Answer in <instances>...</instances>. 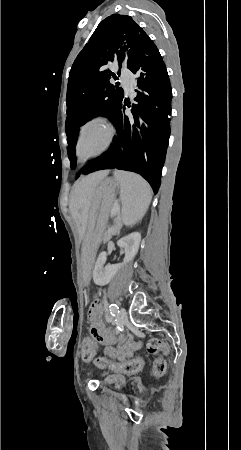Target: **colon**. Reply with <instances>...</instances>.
<instances>
[{
	"label": "colon",
	"instance_id": "colon-1",
	"mask_svg": "<svg viewBox=\"0 0 241 450\" xmlns=\"http://www.w3.org/2000/svg\"><path fill=\"white\" fill-rule=\"evenodd\" d=\"M82 352L81 357L82 359H87V356H92L89 353L94 351V341L90 337H86L82 343ZM147 352L151 355H156L157 352H160V354H169L171 349L170 346L165 342L157 338H151L147 343ZM94 362H97V367H107L109 364L106 361L105 357H94ZM143 362L136 358L129 362L127 365H125L122 370L125 373L133 374L135 372H138L142 368ZM166 370V362L159 357L155 362L153 363L150 374L154 378H158L161 375L164 374Z\"/></svg>",
	"mask_w": 241,
	"mask_h": 450
}]
</instances>
